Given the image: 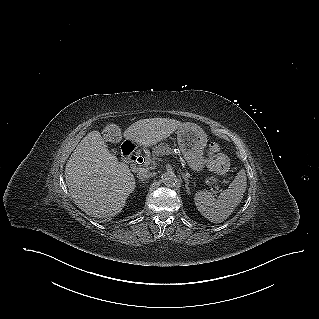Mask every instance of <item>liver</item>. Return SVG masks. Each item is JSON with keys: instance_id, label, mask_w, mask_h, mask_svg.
Instances as JSON below:
<instances>
[{"instance_id": "obj_1", "label": "liver", "mask_w": 319, "mask_h": 319, "mask_svg": "<svg viewBox=\"0 0 319 319\" xmlns=\"http://www.w3.org/2000/svg\"><path fill=\"white\" fill-rule=\"evenodd\" d=\"M185 125L174 119H142L130 125L123 136L134 144L152 146ZM65 180L74 203L97 218L119 214L135 188L128 165L110 153L96 130L88 133L73 151L66 164Z\"/></svg>"}]
</instances>
